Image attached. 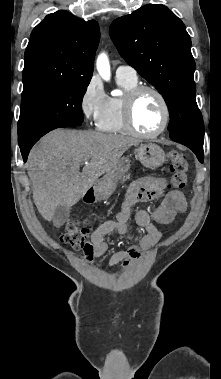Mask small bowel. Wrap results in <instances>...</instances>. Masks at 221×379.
Returning a JSON list of instances; mask_svg holds the SVG:
<instances>
[{"mask_svg":"<svg viewBox=\"0 0 221 379\" xmlns=\"http://www.w3.org/2000/svg\"><path fill=\"white\" fill-rule=\"evenodd\" d=\"M167 180L163 177H142L130 186L114 220L100 224L92 233L88 246L84 249L88 260L103 255L108 245L104 240L106 235L117 233L124 235L128 230V221L132 207L140 201H149L163 196L167 188ZM188 204L185 195L179 190L168 192L161 205L154 212V219L161 225H169L178 213L185 212ZM135 221L143 229V235L138 244H131L127 249L115 252L109 259L108 266L121 264L124 269L131 267L143 253L154 247L161 239V232L152 223L150 215L145 210H139Z\"/></svg>","mask_w":221,"mask_h":379,"instance_id":"obj_1","label":"small bowel"}]
</instances>
